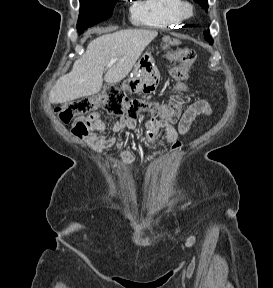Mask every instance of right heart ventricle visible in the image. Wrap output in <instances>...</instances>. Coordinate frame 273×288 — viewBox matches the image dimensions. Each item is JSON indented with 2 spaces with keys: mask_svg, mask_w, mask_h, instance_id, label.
Returning <instances> with one entry per match:
<instances>
[{
  "mask_svg": "<svg viewBox=\"0 0 273 288\" xmlns=\"http://www.w3.org/2000/svg\"><path fill=\"white\" fill-rule=\"evenodd\" d=\"M183 0H135L132 21L141 26L169 29L181 25Z\"/></svg>",
  "mask_w": 273,
  "mask_h": 288,
  "instance_id": "e07e8e85",
  "label": "right heart ventricle"
}]
</instances>
